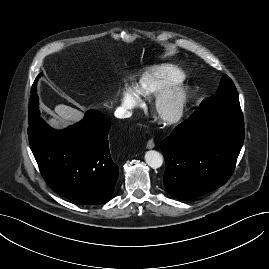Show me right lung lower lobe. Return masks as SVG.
Returning a JSON list of instances; mask_svg holds the SVG:
<instances>
[{"label":"right lung lower lobe","instance_id":"98d812e1","mask_svg":"<svg viewBox=\"0 0 269 269\" xmlns=\"http://www.w3.org/2000/svg\"><path fill=\"white\" fill-rule=\"evenodd\" d=\"M110 124L98 111H87L79 123L64 130L41 118L29 125L30 147L46 183L63 197L84 205L110 200L118 166L109 152Z\"/></svg>","mask_w":269,"mask_h":269}]
</instances>
